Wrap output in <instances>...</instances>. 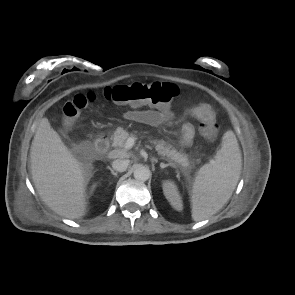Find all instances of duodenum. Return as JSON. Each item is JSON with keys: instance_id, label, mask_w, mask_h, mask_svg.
I'll return each mask as SVG.
<instances>
[{"instance_id": "410a0bca", "label": "duodenum", "mask_w": 295, "mask_h": 295, "mask_svg": "<svg viewBox=\"0 0 295 295\" xmlns=\"http://www.w3.org/2000/svg\"><path fill=\"white\" fill-rule=\"evenodd\" d=\"M109 138L107 136H101L94 142V149L98 154H104L109 149Z\"/></svg>"}]
</instances>
